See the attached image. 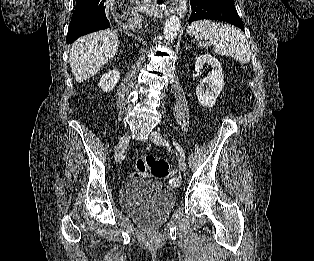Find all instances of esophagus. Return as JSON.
Listing matches in <instances>:
<instances>
[{
    "label": "esophagus",
    "mask_w": 314,
    "mask_h": 261,
    "mask_svg": "<svg viewBox=\"0 0 314 261\" xmlns=\"http://www.w3.org/2000/svg\"><path fill=\"white\" fill-rule=\"evenodd\" d=\"M171 3L163 4L162 7H156L157 11H160L161 14L169 15L171 13H177L180 16L185 14L186 7L184 0H170Z\"/></svg>",
    "instance_id": "esophagus-1"
}]
</instances>
